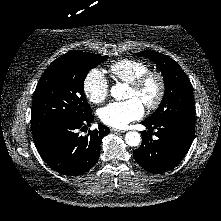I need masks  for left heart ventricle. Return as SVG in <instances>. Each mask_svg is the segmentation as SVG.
<instances>
[{"mask_svg": "<svg viewBox=\"0 0 221 221\" xmlns=\"http://www.w3.org/2000/svg\"><path fill=\"white\" fill-rule=\"evenodd\" d=\"M158 85L156 80H149L140 92H135L132 88H129L128 98H137L142 104L152 101L157 94Z\"/></svg>", "mask_w": 221, "mask_h": 221, "instance_id": "b2bd125f", "label": "left heart ventricle"}]
</instances>
